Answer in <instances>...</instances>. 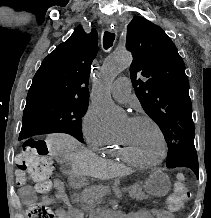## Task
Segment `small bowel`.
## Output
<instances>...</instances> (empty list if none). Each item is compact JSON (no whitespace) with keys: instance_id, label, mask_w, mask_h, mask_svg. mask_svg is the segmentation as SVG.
<instances>
[{"instance_id":"obj_1","label":"small bowel","mask_w":211,"mask_h":218,"mask_svg":"<svg viewBox=\"0 0 211 218\" xmlns=\"http://www.w3.org/2000/svg\"><path fill=\"white\" fill-rule=\"evenodd\" d=\"M52 188L54 191V196L57 199L61 200L64 203L68 202L64 183L61 180L55 179ZM20 195L26 201H32L35 199V192L29 186L21 188ZM44 200L46 203L52 202L51 197H45ZM80 215L81 214L78 210L64 209V208H59L56 210L57 218H80ZM138 218H174V215L170 210L154 209L151 211H139Z\"/></svg>"}]
</instances>
